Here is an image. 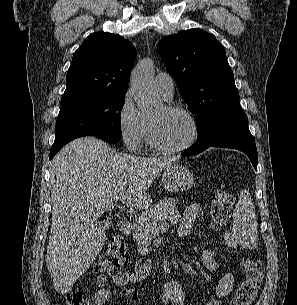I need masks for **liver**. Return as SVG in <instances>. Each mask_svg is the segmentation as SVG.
Here are the masks:
<instances>
[{"label":"liver","mask_w":297,"mask_h":305,"mask_svg":"<svg viewBox=\"0 0 297 305\" xmlns=\"http://www.w3.org/2000/svg\"><path fill=\"white\" fill-rule=\"evenodd\" d=\"M174 160L117 153L95 137L75 139L56 154L50 169L53 210L46 262L58 293L70 291L101 251L106 236L98 218L105 209L118 200L148 207L151 183Z\"/></svg>","instance_id":"obj_1"}]
</instances>
